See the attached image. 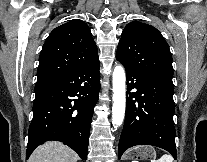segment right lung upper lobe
<instances>
[{"instance_id": "obj_1", "label": "right lung upper lobe", "mask_w": 207, "mask_h": 162, "mask_svg": "<svg viewBox=\"0 0 207 162\" xmlns=\"http://www.w3.org/2000/svg\"><path fill=\"white\" fill-rule=\"evenodd\" d=\"M98 61L97 47L87 24L70 21L55 28L45 41L39 57L37 81Z\"/></svg>"}]
</instances>
